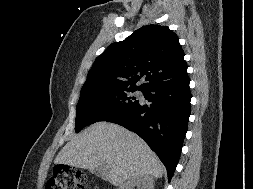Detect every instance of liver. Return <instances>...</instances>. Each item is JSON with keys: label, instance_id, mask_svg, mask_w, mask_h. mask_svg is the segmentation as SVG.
<instances>
[{"label": "liver", "instance_id": "liver-1", "mask_svg": "<svg viewBox=\"0 0 253 189\" xmlns=\"http://www.w3.org/2000/svg\"><path fill=\"white\" fill-rule=\"evenodd\" d=\"M54 163L89 170L100 168L104 178L114 186L138 175L161 178L164 173V166L144 140L107 122L95 123L73 137L58 153Z\"/></svg>", "mask_w": 253, "mask_h": 189}]
</instances>
